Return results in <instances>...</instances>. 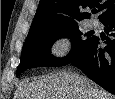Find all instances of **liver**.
<instances>
[{"label":"liver","instance_id":"liver-1","mask_svg":"<svg viewBox=\"0 0 115 99\" xmlns=\"http://www.w3.org/2000/svg\"><path fill=\"white\" fill-rule=\"evenodd\" d=\"M85 76L72 72H58L32 82L21 83L14 99H113Z\"/></svg>","mask_w":115,"mask_h":99}]
</instances>
